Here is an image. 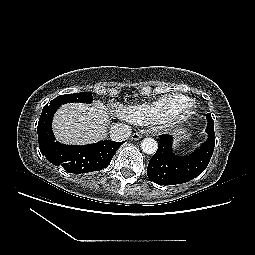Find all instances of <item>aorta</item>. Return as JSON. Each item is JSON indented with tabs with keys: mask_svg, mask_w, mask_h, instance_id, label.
Masks as SVG:
<instances>
[{
	"mask_svg": "<svg viewBox=\"0 0 255 255\" xmlns=\"http://www.w3.org/2000/svg\"><path fill=\"white\" fill-rule=\"evenodd\" d=\"M141 149L146 154H155L158 149V144L153 138H145L141 142Z\"/></svg>",
	"mask_w": 255,
	"mask_h": 255,
	"instance_id": "obj_1",
	"label": "aorta"
}]
</instances>
